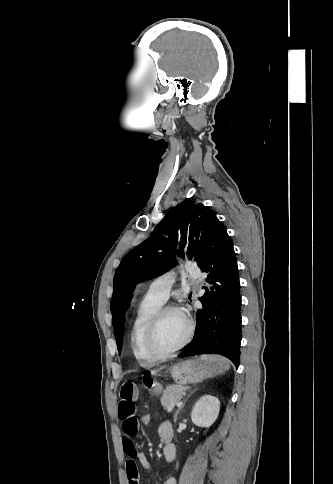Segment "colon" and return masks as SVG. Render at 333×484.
<instances>
[{
    "mask_svg": "<svg viewBox=\"0 0 333 484\" xmlns=\"http://www.w3.org/2000/svg\"><path fill=\"white\" fill-rule=\"evenodd\" d=\"M140 427H149L152 422V417L149 413H143L138 418Z\"/></svg>",
    "mask_w": 333,
    "mask_h": 484,
    "instance_id": "1",
    "label": "colon"
}]
</instances>
